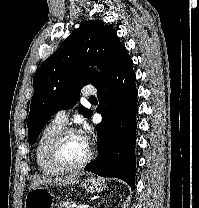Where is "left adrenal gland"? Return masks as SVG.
I'll return each instance as SVG.
<instances>
[{
    "label": "left adrenal gland",
    "instance_id": "obj_1",
    "mask_svg": "<svg viewBox=\"0 0 199 208\" xmlns=\"http://www.w3.org/2000/svg\"><path fill=\"white\" fill-rule=\"evenodd\" d=\"M104 200H102L101 202H103ZM101 202H99L97 205H99ZM90 208H92V207H90Z\"/></svg>",
    "mask_w": 199,
    "mask_h": 208
}]
</instances>
